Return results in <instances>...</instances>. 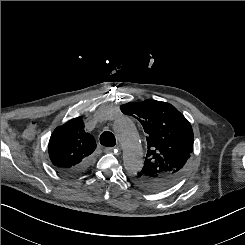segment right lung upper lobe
<instances>
[{
  "label": "right lung upper lobe",
  "instance_id": "right-lung-upper-lobe-1",
  "mask_svg": "<svg viewBox=\"0 0 245 245\" xmlns=\"http://www.w3.org/2000/svg\"><path fill=\"white\" fill-rule=\"evenodd\" d=\"M96 149L94 137L84 131L82 117L69 120L52 133L48 151L54 166L71 170L91 157Z\"/></svg>",
  "mask_w": 245,
  "mask_h": 245
}]
</instances>
